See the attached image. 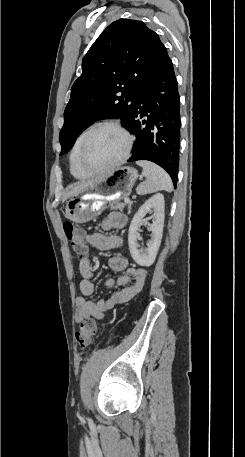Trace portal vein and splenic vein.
I'll return each mask as SVG.
<instances>
[{
	"label": "portal vein and splenic vein",
	"instance_id": "portal-vein-and-splenic-vein-1",
	"mask_svg": "<svg viewBox=\"0 0 245 457\" xmlns=\"http://www.w3.org/2000/svg\"><path fill=\"white\" fill-rule=\"evenodd\" d=\"M124 202H130V198H125Z\"/></svg>",
	"mask_w": 245,
	"mask_h": 457
}]
</instances>
